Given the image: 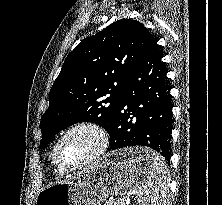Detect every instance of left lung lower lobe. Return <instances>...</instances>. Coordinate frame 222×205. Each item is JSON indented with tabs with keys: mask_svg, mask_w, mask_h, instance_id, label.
Masks as SVG:
<instances>
[{
	"mask_svg": "<svg viewBox=\"0 0 222 205\" xmlns=\"http://www.w3.org/2000/svg\"><path fill=\"white\" fill-rule=\"evenodd\" d=\"M162 57L151 35L124 83L116 119L109 132L108 151L148 146L169 163L172 102Z\"/></svg>",
	"mask_w": 222,
	"mask_h": 205,
	"instance_id": "0a47b994",
	"label": "left lung lower lobe"
}]
</instances>
